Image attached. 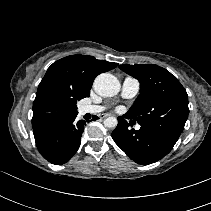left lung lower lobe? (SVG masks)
<instances>
[{
  "mask_svg": "<svg viewBox=\"0 0 211 211\" xmlns=\"http://www.w3.org/2000/svg\"><path fill=\"white\" fill-rule=\"evenodd\" d=\"M128 116L118 117V125L112 132L115 143L136 163L148 165L166 156L176 142L148 127L130 129Z\"/></svg>",
  "mask_w": 211,
  "mask_h": 211,
  "instance_id": "left-lung-lower-lobe-1",
  "label": "left lung lower lobe"
}]
</instances>
